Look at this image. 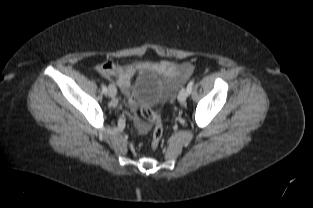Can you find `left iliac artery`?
<instances>
[{
	"mask_svg": "<svg viewBox=\"0 0 313 208\" xmlns=\"http://www.w3.org/2000/svg\"><path fill=\"white\" fill-rule=\"evenodd\" d=\"M193 84H194V81H193V80H191V81L188 83V85H187V92H188V94L191 93L192 88H193Z\"/></svg>",
	"mask_w": 313,
	"mask_h": 208,
	"instance_id": "44dca946",
	"label": "left iliac artery"
}]
</instances>
